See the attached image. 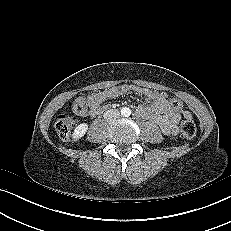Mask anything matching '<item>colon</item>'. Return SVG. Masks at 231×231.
I'll use <instances>...</instances> for the list:
<instances>
[{
	"mask_svg": "<svg viewBox=\"0 0 231 231\" xmlns=\"http://www.w3.org/2000/svg\"><path fill=\"white\" fill-rule=\"evenodd\" d=\"M169 102L174 109L180 110L183 107L182 101L178 98H171ZM72 108L75 113L83 114L86 110V104L81 99H77L72 103ZM74 124V117L67 113H61L55 118L54 128L57 135L65 139L70 135ZM180 132L183 138L188 140L193 139L196 134V125L194 121L191 118H184L180 125Z\"/></svg>",
	"mask_w": 231,
	"mask_h": 231,
	"instance_id": "5ec220e1",
	"label": "colon"
}]
</instances>
